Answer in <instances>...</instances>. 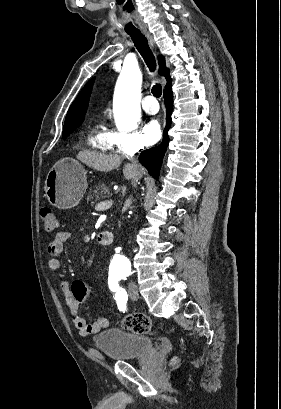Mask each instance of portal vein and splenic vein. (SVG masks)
<instances>
[{"mask_svg": "<svg viewBox=\"0 0 281 409\" xmlns=\"http://www.w3.org/2000/svg\"><path fill=\"white\" fill-rule=\"evenodd\" d=\"M113 201L112 197H109L107 201L99 200L98 203L95 204L96 211L99 210L100 213L106 212V207L110 205V202Z\"/></svg>", "mask_w": 281, "mask_h": 409, "instance_id": "portal-vein-and-splenic-vein-1", "label": "portal vein and splenic vein"}]
</instances>
